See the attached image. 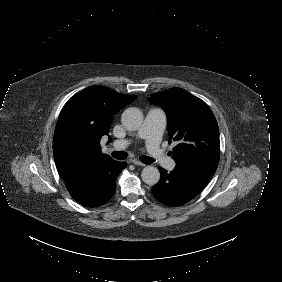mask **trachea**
<instances>
[{"label":"trachea","mask_w":282,"mask_h":282,"mask_svg":"<svg viewBox=\"0 0 282 282\" xmlns=\"http://www.w3.org/2000/svg\"><path fill=\"white\" fill-rule=\"evenodd\" d=\"M112 156L118 160L127 159L128 153L126 151H114L112 152ZM139 160L144 164H152L154 159L145 155L139 157Z\"/></svg>","instance_id":"1"}]
</instances>
